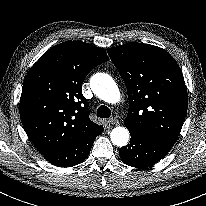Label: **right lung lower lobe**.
<instances>
[{"mask_svg": "<svg viewBox=\"0 0 206 206\" xmlns=\"http://www.w3.org/2000/svg\"><path fill=\"white\" fill-rule=\"evenodd\" d=\"M100 128L82 141L61 151L44 155V158L51 164L58 167H72L82 163L89 155L95 138L103 132Z\"/></svg>", "mask_w": 206, "mask_h": 206, "instance_id": "obj_1", "label": "right lung lower lobe"}]
</instances>
